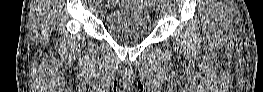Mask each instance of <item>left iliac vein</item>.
<instances>
[{
	"label": "left iliac vein",
	"mask_w": 263,
	"mask_h": 92,
	"mask_svg": "<svg viewBox=\"0 0 263 92\" xmlns=\"http://www.w3.org/2000/svg\"><path fill=\"white\" fill-rule=\"evenodd\" d=\"M156 8H159V5H156ZM157 12H160V9H157Z\"/></svg>",
	"instance_id": "4c4485c4"
}]
</instances>
